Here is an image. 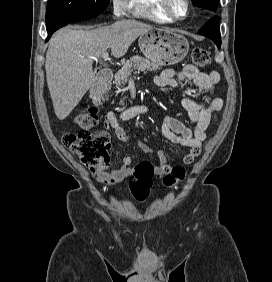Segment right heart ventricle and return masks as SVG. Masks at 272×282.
Segmentation results:
<instances>
[{"mask_svg":"<svg viewBox=\"0 0 272 282\" xmlns=\"http://www.w3.org/2000/svg\"><path fill=\"white\" fill-rule=\"evenodd\" d=\"M159 0H133V15L143 17L158 23H170L173 19L168 17L159 7Z\"/></svg>","mask_w":272,"mask_h":282,"instance_id":"1","label":"right heart ventricle"}]
</instances>
